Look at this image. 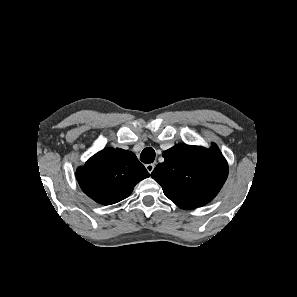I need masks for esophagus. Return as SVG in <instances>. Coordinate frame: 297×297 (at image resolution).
Returning a JSON list of instances; mask_svg holds the SVG:
<instances>
[{
	"mask_svg": "<svg viewBox=\"0 0 297 297\" xmlns=\"http://www.w3.org/2000/svg\"><path fill=\"white\" fill-rule=\"evenodd\" d=\"M147 171L151 174L152 171L154 170L155 165L154 164H147L146 166Z\"/></svg>",
	"mask_w": 297,
	"mask_h": 297,
	"instance_id": "1",
	"label": "esophagus"
}]
</instances>
